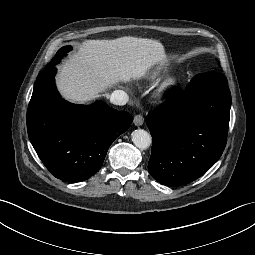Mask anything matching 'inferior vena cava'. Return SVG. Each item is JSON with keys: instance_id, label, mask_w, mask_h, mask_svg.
<instances>
[{"instance_id": "inferior-vena-cava-1", "label": "inferior vena cava", "mask_w": 255, "mask_h": 255, "mask_svg": "<svg viewBox=\"0 0 255 255\" xmlns=\"http://www.w3.org/2000/svg\"><path fill=\"white\" fill-rule=\"evenodd\" d=\"M129 100L126 92L123 90H115L110 96V102L115 105H125Z\"/></svg>"}]
</instances>
